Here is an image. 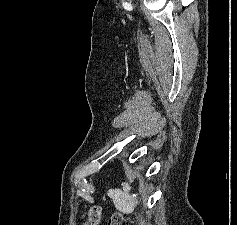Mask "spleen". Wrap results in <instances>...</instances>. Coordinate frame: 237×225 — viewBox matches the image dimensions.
I'll use <instances>...</instances> for the list:
<instances>
[{
    "label": "spleen",
    "mask_w": 237,
    "mask_h": 225,
    "mask_svg": "<svg viewBox=\"0 0 237 225\" xmlns=\"http://www.w3.org/2000/svg\"><path fill=\"white\" fill-rule=\"evenodd\" d=\"M123 188L108 190V196L112 199L115 208L123 214H131L138 204V200L130 195V186L127 183L122 184Z\"/></svg>",
    "instance_id": "spleen-1"
}]
</instances>
